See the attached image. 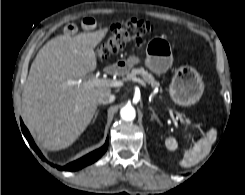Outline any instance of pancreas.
Instances as JSON below:
<instances>
[{
  "label": "pancreas",
  "mask_w": 245,
  "mask_h": 195,
  "mask_svg": "<svg viewBox=\"0 0 245 195\" xmlns=\"http://www.w3.org/2000/svg\"><path fill=\"white\" fill-rule=\"evenodd\" d=\"M137 76H141L152 87L159 86V83L154 79L152 74L149 73L147 70H145L143 67L132 69V71L127 74L126 79L132 80L133 78H136Z\"/></svg>",
  "instance_id": "1"
}]
</instances>
